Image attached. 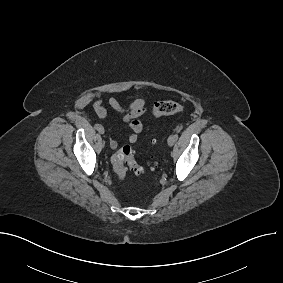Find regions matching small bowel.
I'll use <instances>...</instances> for the list:
<instances>
[{
	"instance_id": "obj_1",
	"label": "small bowel",
	"mask_w": 283,
	"mask_h": 283,
	"mask_svg": "<svg viewBox=\"0 0 283 283\" xmlns=\"http://www.w3.org/2000/svg\"><path fill=\"white\" fill-rule=\"evenodd\" d=\"M108 104L114 111L123 116L124 122L132 131L127 140L129 143H135L138 139V134H140L144 129V125L139 118L147 112L145 99L138 98L128 105H123L115 96L112 95L108 98ZM93 108L99 118L105 119L107 117V108L103 105L100 98H97L94 101ZM117 145L118 143L115 139L110 140V146L112 148H116Z\"/></svg>"
}]
</instances>
